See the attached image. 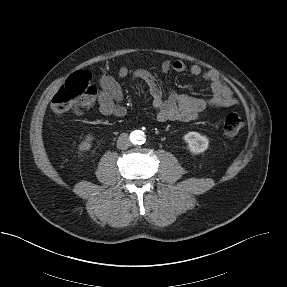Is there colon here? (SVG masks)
Returning a JSON list of instances; mask_svg holds the SVG:
<instances>
[{
    "mask_svg": "<svg viewBox=\"0 0 287 287\" xmlns=\"http://www.w3.org/2000/svg\"><path fill=\"white\" fill-rule=\"evenodd\" d=\"M97 96V88L92 83L88 71L73 73L65 84L54 95L51 108L57 115H63L71 109L91 105ZM244 126L243 118L234 112L227 113L222 118V127L226 134L236 135Z\"/></svg>",
    "mask_w": 287,
    "mask_h": 287,
    "instance_id": "1",
    "label": "colon"
}]
</instances>
